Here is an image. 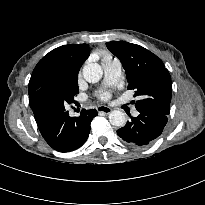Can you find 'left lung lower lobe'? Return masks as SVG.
I'll return each instance as SVG.
<instances>
[{"label": "left lung lower lobe", "instance_id": "left-lung-lower-lobe-1", "mask_svg": "<svg viewBox=\"0 0 205 205\" xmlns=\"http://www.w3.org/2000/svg\"><path fill=\"white\" fill-rule=\"evenodd\" d=\"M139 116L131 117L126 125L117 130L118 136L127 144L142 147L159 137L167 123V115L147 109H137Z\"/></svg>", "mask_w": 205, "mask_h": 205}]
</instances>
